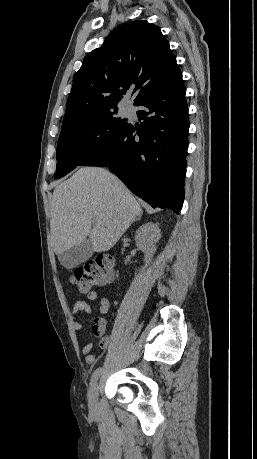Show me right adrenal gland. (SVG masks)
<instances>
[{
  "label": "right adrenal gland",
  "mask_w": 257,
  "mask_h": 459,
  "mask_svg": "<svg viewBox=\"0 0 257 459\" xmlns=\"http://www.w3.org/2000/svg\"><path fill=\"white\" fill-rule=\"evenodd\" d=\"M140 220H141V216L135 219V221H140Z\"/></svg>",
  "instance_id": "2a0ac1e0"
}]
</instances>
